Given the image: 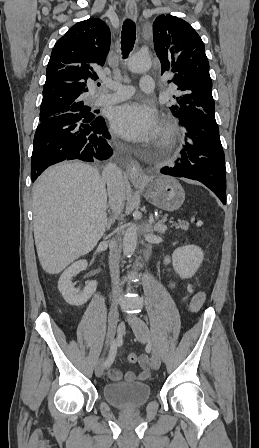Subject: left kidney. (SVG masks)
I'll return each instance as SVG.
<instances>
[{"label": "left kidney", "instance_id": "5707ae66", "mask_svg": "<svg viewBox=\"0 0 259 448\" xmlns=\"http://www.w3.org/2000/svg\"><path fill=\"white\" fill-rule=\"evenodd\" d=\"M204 254L198 246H182L172 254L173 268L182 278H192L203 262Z\"/></svg>", "mask_w": 259, "mask_h": 448}]
</instances>
